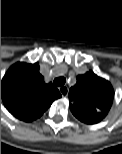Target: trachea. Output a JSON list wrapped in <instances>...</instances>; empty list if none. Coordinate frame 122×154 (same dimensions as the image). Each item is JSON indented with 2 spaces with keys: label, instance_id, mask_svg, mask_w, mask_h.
<instances>
[{
  "label": "trachea",
  "instance_id": "1",
  "mask_svg": "<svg viewBox=\"0 0 122 154\" xmlns=\"http://www.w3.org/2000/svg\"><path fill=\"white\" fill-rule=\"evenodd\" d=\"M65 82H66V79L64 77H57L54 80V84L56 86H63L65 84Z\"/></svg>",
  "mask_w": 122,
  "mask_h": 154
}]
</instances>
